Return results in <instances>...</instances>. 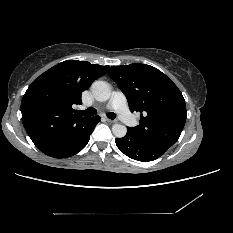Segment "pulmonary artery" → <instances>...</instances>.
I'll return each mask as SVG.
<instances>
[{"label":"pulmonary artery","mask_w":233,"mask_h":233,"mask_svg":"<svg viewBox=\"0 0 233 233\" xmlns=\"http://www.w3.org/2000/svg\"><path fill=\"white\" fill-rule=\"evenodd\" d=\"M108 106L117 111L118 115L125 124L129 126L132 125L133 117L131 112L128 110L126 106L125 96L121 92L115 91L112 94Z\"/></svg>","instance_id":"e3ab8cb5"}]
</instances>
